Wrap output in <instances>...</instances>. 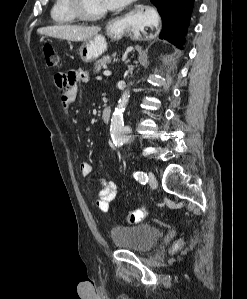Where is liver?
Instances as JSON below:
<instances>
[{"label": "liver", "mask_w": 247, "mask_h": 299, "mask_svg": "<svg viewBox=\"0 0 247 299\" xmlns=\"http://www.w3.org/2000/svg\"><path fill=\"white\" fill-rule=\"evenodd\" d=\"M100 30L99 26L54 25L41 27L37 30V33L58 39L80 42L97 36Z\"/></svg>", "instance_id": "1"}]
</instances>
